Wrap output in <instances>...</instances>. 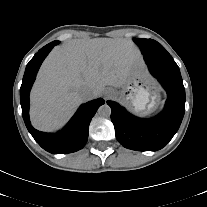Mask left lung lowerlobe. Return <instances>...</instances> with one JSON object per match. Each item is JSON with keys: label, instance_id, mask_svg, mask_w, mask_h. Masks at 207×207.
I'll return each instance as SVG.
<instances>
[{"label": "left lung lower lobe", "instance_id": "left-lung-lower-lobe-1", "mask_svg": "<svg viewBox=\"0 0 207 207\" xmlns=\"http://www.w3.org/2000/svg\"><path fill=\"white\" fill-rule=\"evenodd\" d=\"M150 73L167 91L164 110L151 119L137 118L118 103L107 101L117 140L137 151L162 149L175 135L185 112V89L178 65L170 54L144 55Z\"/></svg>", "mask_w": 207, "mask_h": 207}]
</instances>
